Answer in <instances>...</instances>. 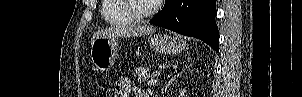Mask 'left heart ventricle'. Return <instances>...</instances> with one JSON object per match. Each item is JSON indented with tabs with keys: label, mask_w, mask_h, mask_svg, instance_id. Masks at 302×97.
<instances>
[{
	"label": "left heart ventricle",
	"mask_w": 302,
	"mask_h": 97,
	"mask_svg": "<svg viewBox=\"0 0 302 97\" xmlns=\"http://www.w3.org/2000/svg\"><path fill=\"white\" fill-rule=\"evenodd\" d=\"M130 3L133 9L138 13L146 12L152 4L150 0H132Z\"/></svg>",
	"instance_id": "b2bd125f"
}]
</instances>
